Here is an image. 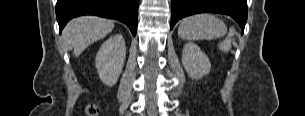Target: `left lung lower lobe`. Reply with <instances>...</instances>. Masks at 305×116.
<instances>
[{"label":"left lung lower lobe","instance_id":"1","mask_svg":"<svg viewBox=\"0 0 305 116\" xmlns=\"http://www.w3.org/2000/svg\"><path fill=\"white\" fill-rule=\"evenodd\" d=\"M202 12L227 14L234 18L244 31L247 0H172L171 29L179 19Z\"/></svg>","mask_w":305,"mask_h":116}]
</instances>
